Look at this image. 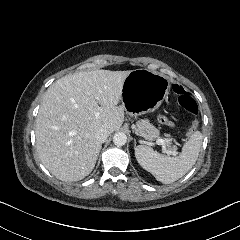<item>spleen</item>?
Segmentation results:
<instances>
[{"label": "spleen", "instance_id": "obj_1", "mask_svg": "<svg viewBox=\"0 0 240 240\" xmlns=\"http://www.w3.org/2000/svg\"><path fill=\"white\" fill-rule=\"evenodd\" d=\"M202 134L195 132L184 145L182 153L174 158L160 154L150 146L139 145L135 155L139 164L164 184L176 182L196 164L202 146Z\"/></svg>", "mask_w": 240, "mask_h": 240}]
</instances>
